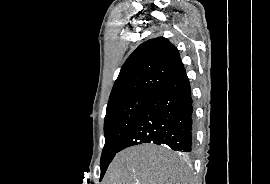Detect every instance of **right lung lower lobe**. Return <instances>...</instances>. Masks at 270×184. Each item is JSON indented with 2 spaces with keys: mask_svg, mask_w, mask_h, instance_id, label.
Masks as SVG:
<instances>
[{
  "mask_svg": "<svg viewBox=\"0 0 270 184\" xmlns=\"http://www.w3.org/2000/svg\"><path fill=\"white\" fill-rule=\"evenodd\" d=\"M192 103L190 83L183 68L148 97L119 151L142 143H155L191 152L195 138Z\"/></svg>",
  "mask_w": 270,
  "mask_h": 184,
  "instance_id": "1",
  "label": "right lung lower lobe"
}]
</instances>
